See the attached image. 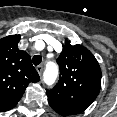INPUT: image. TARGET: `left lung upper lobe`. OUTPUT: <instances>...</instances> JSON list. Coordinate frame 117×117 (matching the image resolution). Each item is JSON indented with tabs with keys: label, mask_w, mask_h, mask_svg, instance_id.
<instances>
[{
	"label": "left lung upper lobe",
	"mask_w": 117,
	"mask_h": 117,
	"mask_svg": "<svg viewBox=\"0 0 117 117\" xmlns=\"http://www.w3.org/2000/svg\"><path fill=\"white\" fill-rule=\"evenodd\" d=\"M59 81L47 90L48 102L63 104L77 113L85 111L101 88V69L94 55L82 45L66 42L57 59Z\"/></svg>",
	"instance_id": "obj_1"
}]
</instances>
